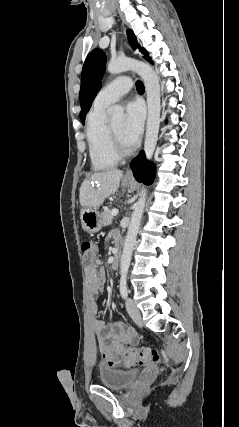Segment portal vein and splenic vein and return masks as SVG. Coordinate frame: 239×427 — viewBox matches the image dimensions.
Here are the masks:
<instances>
[{
	"label": "portal vein and splenic vein",
	"mask_w": 239,
	"mask_h": 427,
	"mask_svg": "<svg viewBox=\"0 0 239 427\" xmlns=\"http://www.w3.org/2000/svg\"><path fill=\"white\" fill-rule=\"evenodd\" d=\"M117 214H118V210L116 208L112 209L111 215L112 216H117Z\"/></svg>",
	"instance_id": "obj_1"
}]
</instances>
